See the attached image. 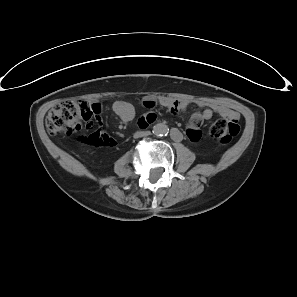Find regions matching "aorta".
Returning <instances> with one entry per match:
<instances>
[{
	"mask_svg": "<svg viewBox=\"0 0 297 297\" xmlns=\"http://www.w3.org/2000/svg\"><path fill=\"white\" fill-rule=\"evenodd\" d=\"M153 132L156 135L163 136L169 132V128L166 124L158 123L153 127Z\"/></svg>",
	"mask_w": 297,
	"mask_h": 297,
	"instance_id": "1",
	"label": "aorta"
}]
</instances>
